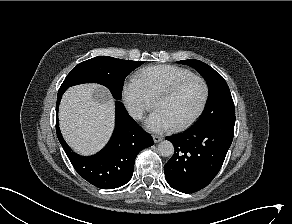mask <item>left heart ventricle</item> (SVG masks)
<instances>
[{
	"mask_svg": "<svg viewBox=\"0 0 292 224\" xmlns=\"http://www.w3.org/2000/svg\"><path fill=\"white\" fill-rule=\"evenodd\" d=\"M203 98V87L198 81H191L174 96L161 100L157 109L162 110L173 126L187 121L199 108Z\"/></svg>",
	"mask_w": 292,
	"mask_h": 224,
	"instance_id": "obj_1",
	"label": "left heart ventricle"
}]
</instances>
